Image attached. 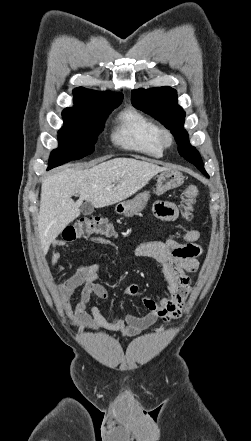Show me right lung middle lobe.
Wrapping results in <instances>:
<instances>
[{"instance_id": "obj_1", "label": "right lung middle lobe", "mask_w": 251, "mask_h": 441, "mask_svg": "<svg viewBox=\"0 0 251 441\" xmlns=\"http://www.w3.org/2000/svg\"><path fill=\"white\" fill-rule=\"evenodd\" d=\"M120 103L89 100L75 112L62 113L64 125L58 132L59 147L52 151L48 169L91 154L106 118Z\"/></svg>"}]
</instances>
